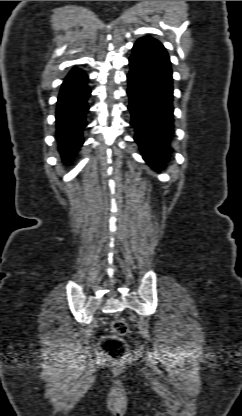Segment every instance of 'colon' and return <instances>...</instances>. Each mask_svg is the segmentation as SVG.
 Here are the masks:
<instances>
[{
  "label": "colon",
  "instance_id": "5ec220e1",
  "mask_svg": "<svg viewBox=\"0 0 242 416\" xmlns=\"http://www.w3.org/2000/svg\"><path fill=\"white\" fill-rule=\"evenodd\" d=\"M112 333L105 335L100 341V347L110 357L120 359L127 351V344L123 336L129 332L128 325L122 319H115L112 324Z\"/></svg>",
  "mask_w": 242,
  "mask_h": 416
}]
</instances>
